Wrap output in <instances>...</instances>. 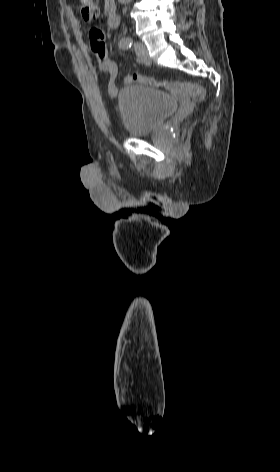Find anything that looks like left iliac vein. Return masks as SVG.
I'll return each mask as SVG.
<instances>
[{
    "instance_id": "left-iliac-vein-1",
    "label": "left iliac vein",
    "mask_w": 280,
    "mask_h": 472,
    "mask_svg": "<svg viewBox=\"0 0 280 472\" xmlns=\"http://www.w3.org/2000/svg\"><path fill=\"white\" fill-rule=\"evenodd\" d=\"M134 50L137 57L141 60L142 63H144L145 65L151 64V59L149 57L147 47L143 43L138 42V41L135 42Z\"/></svg>"
}]
</instances>
